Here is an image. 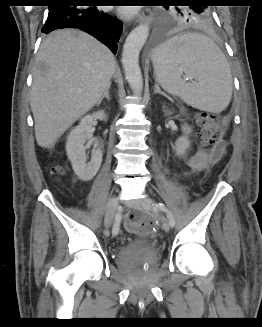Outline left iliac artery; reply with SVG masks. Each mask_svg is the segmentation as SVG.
I'll return each mask as SVG.
<instances>
[{
  "label": "left iliac artery",
  "instance_id": "left-iliac-artery-1",
  "mask_svg": "<svg viewBox=\"0 0 262 327\" xmlns=\"http://www.w3.org/2000/svg\"><path fill=\"white\" fill-rule=\"evenodd\" d=\"M154 207L157 208V209H159V210H161V211H164L167 214V217L169 219L170 226L171 227H174L175 226V219H174L172 213L169 211V209L165 206V204H163L161 202L160 203H156L154 205Z\"/></svg>",
  "mask_w": 262,
  "mask_h": 327
}]
</instances>
